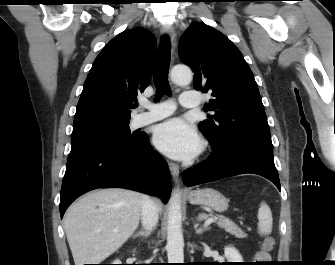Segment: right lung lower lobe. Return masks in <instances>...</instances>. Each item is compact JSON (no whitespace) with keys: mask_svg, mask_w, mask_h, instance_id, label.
I'll list each match as a JSON object with an SVG mask.
<instances>
[{"mask_svg":"<svg viewBox=\"0 0 335 265\" xmlns=\"http://www.w3.org/2000/svg\"><path fill=\"white\" fill-rule=\"evenodd\" d=\"M122 187L160 197L167 203L170 172L166 161L143 133L134 142L71 149L60 193V215L82 194L97 188Z\"/></svg>","mask_w":335,"mask_h":265,"instance_id":"1","label":"right lung lower lobe"}]
</instances>
